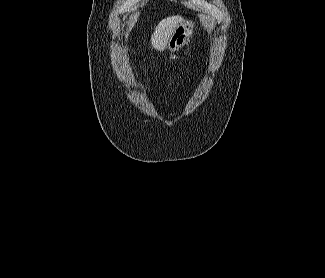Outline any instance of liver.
Wrapping results in <instances>:
<instances>
[{"instance_id":"obj_1","label":"liver","mask_w":325,"mask_h":278,"mask_svg":"<svg viewBox=\"0 0 325 278\" xmlns=\"http://www.w3.org/2000/svg\"><path fill=\"white\" fill-rule=\"evenodd\" d=\"M182 17L180 15L167 17L161 20L151 35V45L157 51H162L166 48L167 43L175 30L181 23Z\"/></svg>"}]
</instances>
